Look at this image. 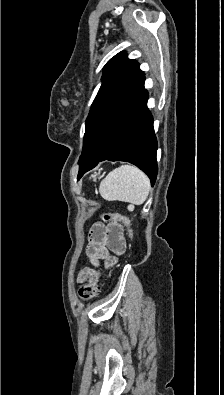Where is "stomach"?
Returning <instances> with one entry per match:
<instances>
[{"mask_svg": "<svg viewBox=\"0 0 224 395\" xmlns=\"http://www.w3.org/2000/svg\"><path fill=\"white\" fill-rule=\"evenodd\" d=\"M99 174L95 173L94 175H92L93 180L95 181L97 179Z\"/></svg>", "mask_w": 224, "mask_h": 395, "instance_id": "1", "label": "stomach"}]
</instances>
